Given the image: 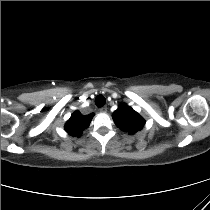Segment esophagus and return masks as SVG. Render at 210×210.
<instances>
[{
    "label": "esophagus",
    "mask_w": 210,
    "mask_h": 210,
    "mask_svg": "<svg viewBox=\"0 0 210 210\" xmlns=\"http://www.w3.org/2000/svg\"><path fill=\"white\" fill-rule=\"evenodd\" d=\"M99 110H100L101 113H106L107 112V107H105V106L101 107Z\"/></svg>",
    "instance_id": "obj_1"
}]
</instances>
